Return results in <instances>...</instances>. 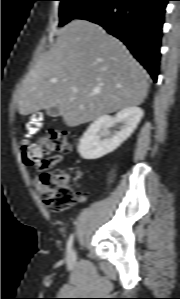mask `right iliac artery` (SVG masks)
<instances>
[{"label": "right iliac artery", "mask_w": 180, "mask_h": 299, "mask_svg": "<svg viewBox=\"0 0 180 299\" xmlns=\"http://www.w3.org/2000/svg\"><path fill=\"white\" fill-rule=\"evenodd\" d=\"M72 244H73V235H71V236L69 237L68 242H67V252H68V253L71 251Z\"/></svg>", "instance_id": "82829eb1"}]
</instances>
